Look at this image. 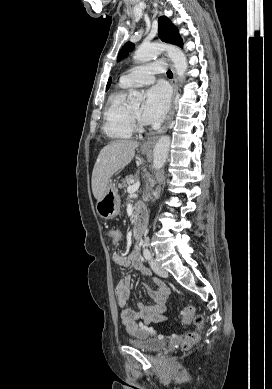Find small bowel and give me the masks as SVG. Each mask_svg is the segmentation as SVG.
I'll list each match as a JSON object with an SVG mask.
<instances>
[{"instance_id": "1", "label": "small bowel", "mask_w": 272, "mask_h": 389, "mask_svg": "<svg viewBox=\"0 0 272 389\" xmlns=\"http://www.w3.org/2000/svg\"><path fill=\"white\" fill-rule=\"evenodd\" d=\"M113 261L121 266L127 267L133 265L135 270L143 276H151L152 272L147 269L142 262L139 252L136 250L129 256H123L119 253L113 255ZM156 288L145 286L148 295L153 300V304L138 302L134 309L128 308L127 300L130 294V278L120 279L115 286L117 303L120 311V317L126 331L136 338H146L155 333L151 323H159L164 320L162 315L166 309V302L169 290L165 283L155 277Z\"/></svg>"}]
</instances>
